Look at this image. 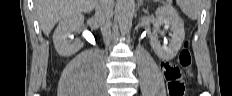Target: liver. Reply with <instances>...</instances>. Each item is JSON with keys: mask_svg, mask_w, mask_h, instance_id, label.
<instances>
[{"mask_svg": "<svg viewBox=\"0 0 232 96\" xmlns=\"http://www.w3.org/2000/svg\"><path fill=\"white\" fill-rule=\"evenodd\" d=\"M97 0H35L38 21L45 35H49L62 18L81 12H91Z\"/></svg>", "mask_w": 232, "mask_h": 96, "instance_id": "liver-1", "label": "liver"}]
</instances>
